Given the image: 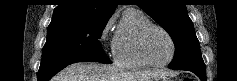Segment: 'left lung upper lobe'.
I'll use <instances>...</instances> for the list:
<instances>
[{
    "label": "left lung upper lobe",
    "instance_id": "5c2ea615",
    "mask_svg": "<svg viewBox=\"0 0 237 81\" xmlns=\"http://www.w3.org/2000/svg\"><path fill=\"white\" fill-rule=\"evenodd\" d=\"M138 6L171 36L176 49L170 69L206 70L193 23L181 0H138Z\"/></svg>",
    "mask_w": 237,
    "mask_h": 81
}]
</instances>
